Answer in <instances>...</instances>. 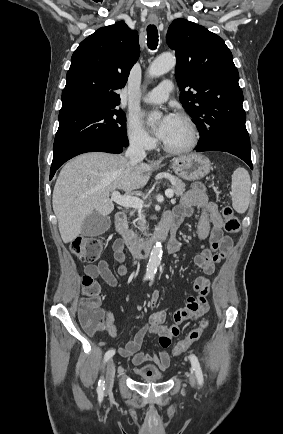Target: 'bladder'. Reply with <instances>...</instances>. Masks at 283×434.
<instances>
[{"label": "bladder", "instance_id": "31cf9c89", "mask_svg": "<svg viewBox=\"0 0 283 434\" xmlns=\"http://www.w3.org/2000/svg\"><path fill=\"white\" fill-rule=\"evenodd\" d=\"M134 373L142 380L146 382L161 381L164 377L154 365H145L139 369H136Z\"/></svg>", "mask_w": 283, "mask_h": 434}]
</instances>
